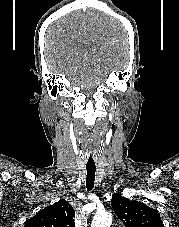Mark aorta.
Here are the masks:
<instances>
[{"label":"aorta","mask_w":179,"mask_h":227,"mask_svg":"<svg viewBox=\"0 0 179 227\" xmlns=\"http://www.w3.org/2000/svg\"><path fill=\"white\" fill-rule=\"evenodd\" d=\"M112 223V215L109 212H98L95 214L91 227H110Z\"/></svg>","instance_id":"obj_1"}]
</instances>
